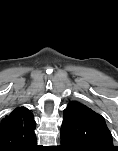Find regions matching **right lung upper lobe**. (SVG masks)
I'll return each mask as SVG.
<instances>
[{
	"mask_svg": "<svg viewBox=\"0 0 118 151\" xmlns=\"http://www.w3.org/2000/svg\"><path fill=\"white\" fill-rule=\"evenodd\" d=\"M33 113L18 107L0 123V151H26L36 143Z\"/></svg>",
	"mask_w": 118,
	"mask_h": 151,
	"instance_id": "cb5924a9",
	"label": "right lung upper lobe"
}]
</instances>
